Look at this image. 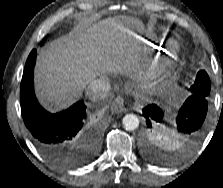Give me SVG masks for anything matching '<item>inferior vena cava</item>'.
<instances>
[{
    "mask_svg": "<svg viewBox=\"0 0 223 188\" xmlns=\"http://www.w3.org/2000/svg\"><path fill=\"white\" fill-rule=\"evenodd\" d=\"M111 89L108 79L99 78L93 80L86 89V95L93 101L103 100Z\"/></svg>",
    "mask_w": 223,
    "mask_h": 188,
    "instance_id": "602c4592",
    "label": "inferior vena cava"
}]
</instances>
